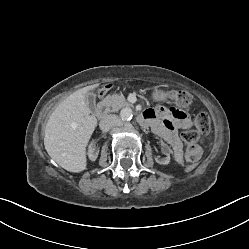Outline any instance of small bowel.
<instances>
[{
  "mask_svg": "<svg viewBox=\"0 0 249 249\" xmlns=\"http://www.w3.org/2000/svg\"><path fill=\"white\" fill-rule=\"evenodd\" d=\"M143 117L156 133L161 135L172 147L176 161L182 158V144L177 136L178 129H189L192 126L190 116L179 108L156 107L144 111Z\"/></svg>",
  "mask_w": 249,
  "mask_h": 249,
  "instance_id": "small-bowel-1",
  "label": "small bowel"
}]
</instances>
